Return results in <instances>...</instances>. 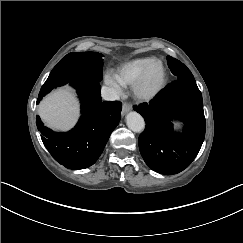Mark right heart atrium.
<instances>
[{"instance_id":"right-heart-atrium-1","label":"right heart atrium","mask_w":243,"mask_h":243,"mask_svg":"<svg viewBox=\"0 0 243 243\" xmlns=\"http://www.w3.org/2000/svg\"><path fill=\"white\" fill-rule=\"evenodd\" d=\"M101 80L109 89L110 96L113 100H120L124 97V87L119 81L114 69H105L102 73Z\"/></svg>"}]
</instances>
